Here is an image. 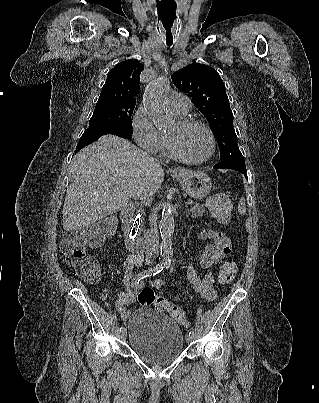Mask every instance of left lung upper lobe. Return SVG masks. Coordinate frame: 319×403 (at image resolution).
Returning a JSON list of instances; mask_svg holds the SVG:
<instances>
[{
  "instance_id": "1",
  "label": "left lung upper lobe",
  "mask_w": 319,
  "mask_h": 403,
  "mask_svg": "<svg viewBox=\"0 0 319 403\" xmlns=\"http://www.w3.org/2000/svg\"><path fill=\"white\" fill-rule=\"evenodd\" d=\"M174 85L187 93L209 121L217 138L221 161L245 163L237 144L233 113L219 73L210 66L194 63L172 75Z\"/></svg>"
}]
</instances>
